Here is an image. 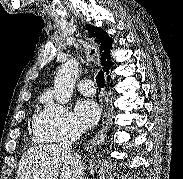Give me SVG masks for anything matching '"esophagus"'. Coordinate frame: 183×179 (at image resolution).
I'll list each match as a JSON object with an SVG mask.
<instances>
[{"label": "esophagus", "instance_id": "34e87169", "mask_svg": "<svg viewBox=\"0 0 183 179\" xmlns=\"http://www.w3.org/2000/svg\"><path fill=\"white\" fill-rule=\"evenodd\" d=\"M112 117H113L112 110L110 108H107L102 117V127L92 140L93 144H99L102 141H104L107 131L111 126Z\"/></svg>", "mask_w": 183, "mask_h": 179}]
</instances>
